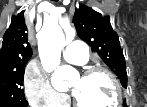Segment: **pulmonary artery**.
I'll use <instances>...</instances> for the list:
<instances>
[{
	"mask_svg": "<svg viewBox=\"0 0 147 107\" xmlns=\"http://www.w3.org/2000/svg\"><path fill=\"white\" fill-rule=\"evenodd\" d=\"M64 59L72 64L83 65L88 62V46L81 41H73L63 51Z\"/></svg>",
	"mask_w": 147,
	"mask_h": 107,
	"instance_id": "obj_1",
	"label": "pulmonary artery"
}]
</instances>
